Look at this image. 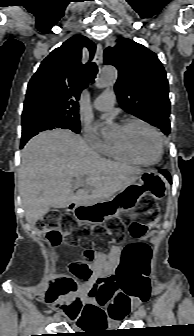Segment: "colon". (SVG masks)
<instances>
[{
  "mask_svg": "<svg viewBox=\"0 0 194 336\" xmlns=\"http://www.w3.org/2000/svg\"><path fill=\"white\" fill-rule=\"evenodd\" d=\"M158 214L159 210L156 204L145 201L143 218L128 223L130 236L138 239L146 235L155 223ZM147 218H150V221ZM115 225L114 232L118 233L120 228L118 224ZM39 226L52 245H58L62 240L73 245H82L87 261L99 256L108 244L107 238L102 235L100 230H96L97 237L94 240L77 235L72 228V219L68 214L49 213L42 219ZM148 259L149 252L146 247L138 244L126 246L121 256L117 279H110L103 284L116 298V302L111 308L114 318L118 319L127 314L134 298L144 300L146 291L137 286L136 278L139 272L147 271ZM70 268L73 276L60 275L56 277L50 283L47 291L38 293L36 299L54 305L69 320L77 321L85 307L78 294L77 279L88 277L90 269L85 262H72Z\"/></svg>",
  "mask_w": 194,
  "mask_h": 336,
  "instance_id": "5ec220e1",
  "label": "colon"
}]
</instances>
